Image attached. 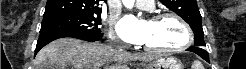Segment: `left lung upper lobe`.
<instances>
[{
  "instance_id": "obj_1",
  "label": "left lung upper lobe",
  "mask_w": 246,
  "mask_h": 69,
  "mask_svg": "<svg viewBox=\"0 0 246 69\" xmlns=\"http://www.w3.org/2000/svg\"><path fill=\"white\" fill-rule=\"evenodd\" d=\"M163 5L174 11L183 18L191 27L195 34V47L203 48L206 46L204 32L201 24V14L196 0H159Z\"/></svg>"
}]
</instances>
